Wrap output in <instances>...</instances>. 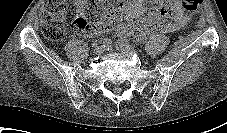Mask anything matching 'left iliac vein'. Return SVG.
<instances>
[{
    "label": "left iliac vein",
    "instance_id": "obj_1",
    "mask_svg": "<svg viewBox=\"0 0 227 133\" xmlns=\"http://www.w3.org/2000/svg\"><path fill=\"white\" fill-rule=\"evenodd\" d=\"M117 50L124 52V51H134V48L132 45H130L129 43H118L116 46Z\"/></svg>",
    "mask_w": 227,
    "mask_h": 133
}]
</instances>
